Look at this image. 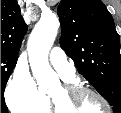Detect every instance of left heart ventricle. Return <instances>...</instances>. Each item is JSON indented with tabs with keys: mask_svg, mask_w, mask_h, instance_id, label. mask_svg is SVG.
<instances>
[{
	"mask_svg": "<svg viewBox=\"0 0 121 113\" xmlns=\"http://www.w3.org/2000/svg\"><path fill=\"white\" fill-rule=\"evenodd\" d=\"M50 95L57 98L61 103L64 100V94L61 91V87L56 88L52 93H50ZM74 109L82 112L105 113L103 103L92 94H83L77 101ZM63 111H67V109L63 107Z\"/></svg>",
	"mask_w": 121,
	"mask_h": 113,
	"instance_id": "b2bd125f",
	"label": "left heart ventricle"
}]
</instances>
